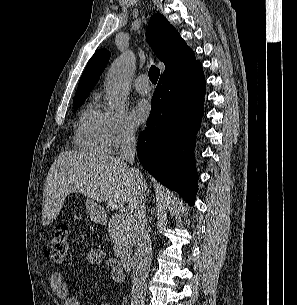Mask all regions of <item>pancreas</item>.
<instances>
[{
	"mask_svg": "<svg viewBox=\"0 0 297 305\" xmlns=\"http://www.w3.org/2000/svg\"><path fill=\"white\" fill-rule=\"evenodd\" d=\"M108 233L114 243V254L122 256L131 252L134 245V233L131 217L122 218L114 215L108 223Z\"/></svg>",
	"mask_w": 297,
	"mask_h": 305,
	"instance_id": "pancreas-1",
	"label": "pancreas"
}]
</instances>
